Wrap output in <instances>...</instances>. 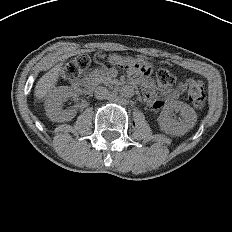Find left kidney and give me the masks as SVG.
Returning <instances> with one entry per match:
<instances>
[{"label":"left kidney","mask_w":232,"mask_h":232,"mask_svg":"<svg viewBox=\"0 0 232 232\" xmlns=\"http://www.w3.org/2000/svg\"><path fill=\"white\" fill-rule=\"evenodd\" d=\"M173 111H180L181 120L172 117ZM197 121L195 110L181 101L168 103L158 117L160 129L172 136H182L192 129Z\"/></svg>","instance_id":"5707ae66"}]
</instances>
